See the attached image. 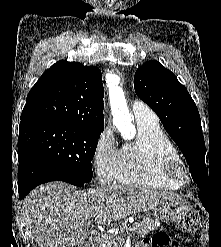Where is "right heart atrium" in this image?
Masks as SVG:
<instances>
[{
  "instance_id": "right-heart-atrium-1",
  "label": "right heart atrium",
  "mask_w": 221,
  "mask_h": 247,
  "mask_svg": "<svg viewBox=\"0 0 221 247\" xmlns=\"http://www.w3.org/2000/svg\"><path fill=\"white\" fill-rule=\"evenodd\" d=\"M118 150L111 129H105L94 147L93 163L98 179L103 183L113 180L117 171Z\"/></svg>"
}]
</instances>
